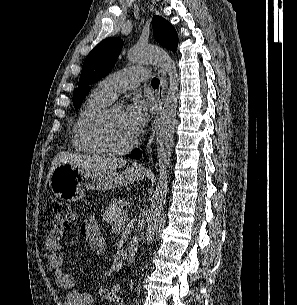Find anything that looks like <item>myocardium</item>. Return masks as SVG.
Segmentation results:
<instances>
[{
	"instance_id": "1",
	"label": "myocardium",
	"mask_w": 297,
	"mask_h": 305,
	"mask_svg": "<svg viewBox=\"0 0 297 305\" xmlns=\"http://www.w3.org/2000/svg\"><path fill=\"white\" fill-rule=\"evenodd\" d=\"M114 108L113 106H107L93 115L86 125V133L102 152L110 155H120L128 152L135 146L136 138L122 147H114L108 143L104 135V125Z\"/></svg>"
}]
</instances>
